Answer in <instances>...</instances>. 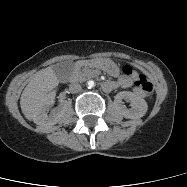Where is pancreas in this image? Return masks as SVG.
I'll use <instances>...</instances> for the list:
<instances>
[{"instance_id": "cf45deb5", "label": "pancreas", "mask_w": 187, "mask_h": 187, "mask_svg": "<svg viewBox=\"0 0 187 187\" xmlns=\"http://www.w3.org/2000/svg\"><path fill=\"white\" fill-rule=\"evenodd\" d=\"M74 76L78 81H85L96 77L95 70L89 66H84L82 68H77L74 72Z\"/></svg>"}]
</instances>
